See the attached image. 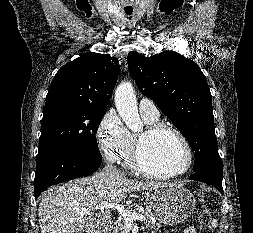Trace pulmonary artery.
I'll return each mask as SVG.
<instances>
[{
    "label": "pulmonary artery",
    "mask_w": 253,
    "mask_h": 233,
    "mask_svg": "<svg viewBox=\"0 0 253 233\" xmlns=\"http://www.w3.org/2000/svg\"><path fill=\"white\" fill-rule=\"evenodd\" d=\"M139 111L143 117L158 118L160 113L154 102L148 98L139 101Z\"/></svg>",
    "instance_id": "1"
}]
</instances>
